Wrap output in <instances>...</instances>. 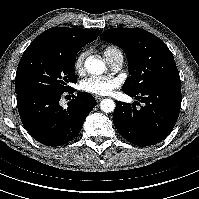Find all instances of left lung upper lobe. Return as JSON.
<instances>
[{"label":"left lung upper lobe","instance_id":"5c2ea615","mask_svg":"<svg viewBox=\"0 0 199 199\" xmlns=\"http://www.w3.org/2000/svg\"><path fill=\"white\" fill-rule=\"evenodd\" d=\"M101 37L126 53L130 76L123 91L140 93L151 87L181 84L173 54L154 34L140 28H113Z\"/></svg>","mask_w":199,"mask_h":199}]
</instances>
